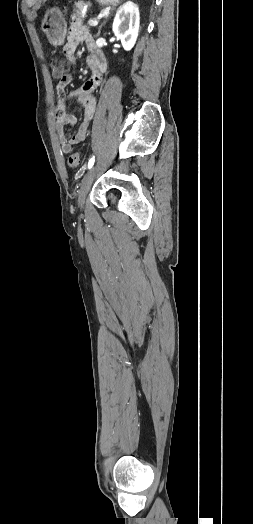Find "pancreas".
<instances>
[{
  "mask_svg": "<svg viewBox=\"0 0 253 524\" xmlns=\"http://www.w3.org/2000/svg\"><path fill=\"white\" fill-rule=\"evenodd\" d=\"M89 7V4L83 1H78L74 4L73 7V13L71 15L72 18H81L82 17V11L84 8Z\"/></svg>",
  "mask_w": 253,
  "mask_h": 524,
  "instance_id": "cf45deb5",
  "label": "pancreas"
}]
</instances>
